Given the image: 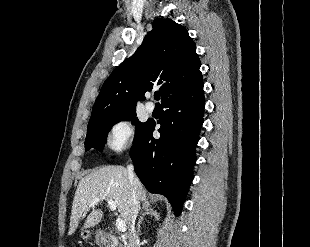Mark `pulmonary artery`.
Returning <instances> with one entry per match:
<instances>
[{
  "mask_svg": "<svg viewBox=\"0 0 310 247\" xmlns=\"http://www.w3.org/2000/svg\"><path fill=\"white\" fill-rule=\"evenodd\" d=\"M155 109V105L153 102L151 101H147L145 103V110L148 112V113H152Z\"/></svg>",
  "mask_w": 310,
  "mask_h": 247,
  "instance_id": "e3ab8cb5",
  "label": "pulmonary artery"
}]
</instances>
